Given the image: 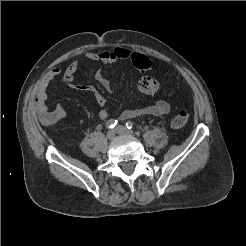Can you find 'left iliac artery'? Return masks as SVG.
Returning a JSON list of instances; mask_svg holds the SVG:
<instances>
[{"label":"left iliac artery","instance_id":"left-iliac-artery-1","mask_svg":"<svg viewBox=\"0 0 246 246\" xmlns=\"http://www.w3.org/2000/svg\"><path fill=\"white\" fill-rule=\"evenodd\" d=\"M126 127H127L128 129H132V128H133V122L127 121V122H126Z\"/></svg>","mask_w":246,"mask_h":246}]
</instances>
